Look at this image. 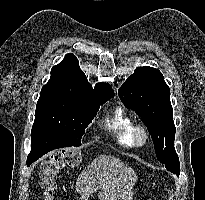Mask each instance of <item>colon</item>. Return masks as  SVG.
Segmentation results:
<instances>
[{"mask_svg":"<svg viewBox=\"0 0 205 200\" xmlns=\"http://www.w3.org/2000/svg\"><path fill=\"white\" fill-rule=\"evenodd\" d=\"M81 162L80 152L72 147L62 149L52 154L41 167V186L44 191V199L50 200L55 190L56 177L64 167H76Z\"/></svg>","mask_w":205,"mask_h":200,"instance_id":"1","label":"colon"}]
</instances>
